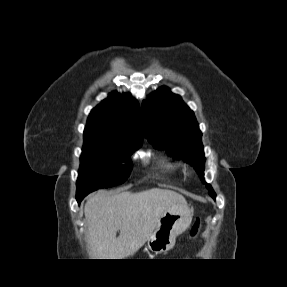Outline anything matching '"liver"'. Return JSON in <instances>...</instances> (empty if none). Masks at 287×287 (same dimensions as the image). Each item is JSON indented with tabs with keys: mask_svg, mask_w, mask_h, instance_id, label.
Here are the masks:
<instances>
[{
	"mask_svg": "<svg viewBox=\"0 0 287 287\" xmlns=\"http://www.w3.org/2000/svg\"><path fill=\"white\" fill-rule=\"evenodd\" d=\"M178 203H186L181 194L160 188L136 193L99 191L91 195L84 215L92 257L133 256L148 240L162 214Z\"/></svg>",
	"mask_w": 287,
	"mask_h": 287,
	"instance_id": "obj_1",
	"label": "liver"
}]
</instances>
